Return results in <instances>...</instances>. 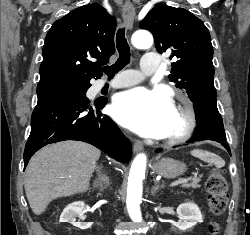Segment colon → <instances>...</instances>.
<instances>
[{
  "mask_svg": "<svg viewBox=\"0 0 250 235\" xmlns=\"http://www.w3.org/2000/svg\"><path fill=\"white\" fill-rule=\"evenodd\" d=\"M205 189L210 211L215 216L224 213L228 204V183L223 170L214 169L207 177ZM210 235H218L219 225L213 222L208 227Z\"/></svg>",
  "mask_w": 250,
  "mask_h": 235,
  "instance_id": "5ec220e1",
  "label": "colon"
}]
</instances>
